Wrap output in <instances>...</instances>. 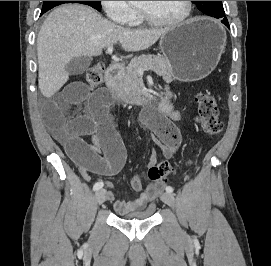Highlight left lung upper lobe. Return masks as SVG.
Listing matches in <instances>:
<instances>
[{"label": "left lung upper lobe", "instance_id": "5c2ea615", "mask_svg": "<svg viewBox=\"0 0 271 266\" xmlns=\"http://www.w3.org/2000/svg\"><path fill=\"white\" fill-rule=\"evenodd\" d=\"M196 4L197 8L204 14L222 19L225 17L222 1H192Z\"/></svg>", "mask_w": 271, "mask_h": 266}]
</instances>
